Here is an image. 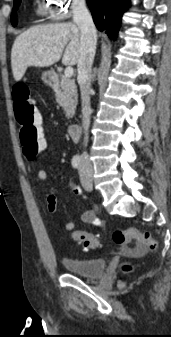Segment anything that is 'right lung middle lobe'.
Here are the masks:
<instances>
[{
    "label": "right lung middle lobe",
    "mask_w": 171,
    "mask_h": 337,
    "mask_svg": "<svg viewBox=\"0 0 171 337\" xmlns=\"http://www.w3.org/2000/svg\"><path fill=\"white\" fill-rule=\"evenodd\" d=\"M21 0H14L13 10L11 14V22L13 26H16L17 24V18H16V9L18 8Z\"/></svg>",
    "instance_id": "right-lung-middle-lobe-1"
}]
</instances>
